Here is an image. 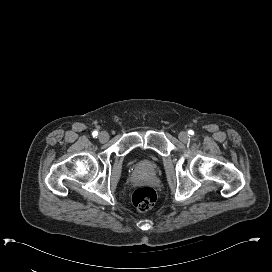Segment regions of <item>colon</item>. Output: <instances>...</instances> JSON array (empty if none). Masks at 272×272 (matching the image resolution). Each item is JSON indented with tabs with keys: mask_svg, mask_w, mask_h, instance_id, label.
<instances>
[{
	"mask_svg": "<svg viewBox=\"0 0 272 272\" xmlns=\"http://www.w3.org/2000/svg\"><path fill=\"white\" fill-rule=\"evenodd\" d=\"M156 199V192L150 187L138 188L132 194V203L141 212L150 209L155 204Z\"/></svg>",
	"mask_w": 272,
	"mask_h": 272,
	"instance_id": "obj_1",
	"label": "colon"
}]
</instances>
